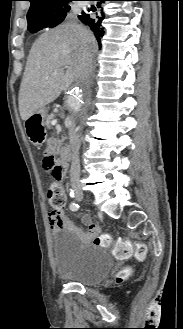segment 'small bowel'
<instances>
[{
    "instance_id": "small-bowel-1",
    "label": "small bowel",
    "mask_w": 183,
    "mask_h": 329,
    "mask_svg": "<svg viewBox=\"0 0 183 329\" xmlns=\"http://www.w3.org/2000/svg\"><path fill=\"white\" fill-rule=\"evenodd\" d=\"M56 151L57 141L54 139L48 140L45 146L44 155L55 156ZM47 221L53 233H57L58 231H73L78 233L85 243H89L91 240L89 236L83 234L85 230L92 232L94 235L99 232L98 226L87 216L84 217V220H77L75 226L62 211H51L47 215Z\"/></svg>"
}]
</instances>
